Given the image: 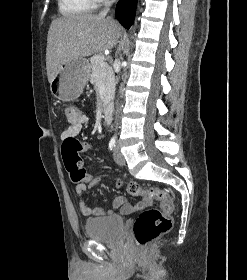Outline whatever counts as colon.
Listing matches in <instances>:
<instances>
[{
	"instance_id": "1",
	"label": "colon",
	"mask_w": 247,
	"mask_h": 280,
	"mask_svg": "<svg viewBox=\"0 0 247 280\" xmlns=\"http://www.w3.org/2000/svg\"><path fill=\"white\" fill-rule=\"evenodd\" d=\"M64 114L69 122L76 121L80 110L73 104L64 107ZM89 146L80 143L77 139H68L62 144V156L66 170L76 187L81 191H92L94 185L107 182L102 176H87L82 166L81 152L87 151ZM127 192L132 196H142L143 201L159 202V208H149L140 213L133 225L134 243L143 247L165 234L172 226L174 202L170 193L160 188L143 189L137 183H129Z\"/></svg>"
}]
</instances>
